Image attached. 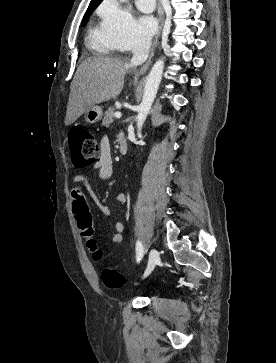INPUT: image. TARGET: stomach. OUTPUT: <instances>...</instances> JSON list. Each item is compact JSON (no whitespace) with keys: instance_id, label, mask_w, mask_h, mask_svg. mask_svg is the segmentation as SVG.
<instances>
[{"instance_id":"obj_1","label":"stomach","mask_w":276,"mask_h":363,"mask_svg":"<svg viewBox=\"0 0 276 363\" xmlns=\"http://www.w3.org/2000/svg\"><path fill=\"white\" fill-rule=\"evenodd\" d=\"M102 115H103L102 108L100 106L94 105L89 107L84 112V119L87 123L94 124L101 120Z\"/></svg>"}]
</instances>
